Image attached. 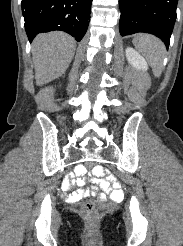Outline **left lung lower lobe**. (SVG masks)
<instances>
[{
	"label": "left lung lower lobe",
	"instance_id": "0a47b994",
	"mask_svg": "<svg viewBox=\"0 0 183 246\" xmlns=\"http://www.w3.org/2000/svg\"><path fill=\"white\" fill-rule=\"evenodd\" d=\"M178 0H119L120 34L137 32L159 37L166 47L176 20Z\"/></svg>",
	"mask_w": 183,
	"mask_h": 246
}]
</instances>
